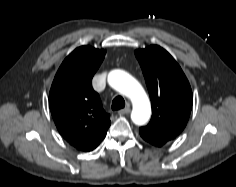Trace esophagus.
Returning <instances> with one entry per match:
<instances>
[{"label": "esophagus", "mask_w": 236, "mask_h": 187, "mask_svg": "<svg viewBox=\"0 0 236 187\" xmlns=\"http://www.w3.org/2000/svg\"><path fill=\"white\" fill-rule=\"evenodd\" d=\"M130 111H131L130 107H126V108H124V109L119 110V111H118V114H119V115H125V114L130 113Z\"/></svg>", "instance_id": "obj_1"}]
</instances>
